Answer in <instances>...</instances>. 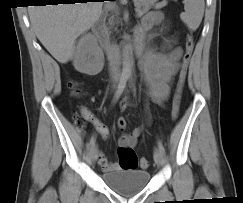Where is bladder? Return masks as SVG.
I'll return each mask as SVG.
<instances>
[{
    "label": "bladder",
    "mask_w": 243,
    "mask_h": 203,
    "mask_svg": "<svg viewBox=\"0 0 243 203\" xmlns=\"http://www.w3.org/2000/svg\"><path fill=\"white\" fill-rule=\"evenodd\" d=\"M104 183L121 195H134L141 192L150 180L147 170L118 169L102 174Z\"/></svg>",
    "instance_id": "31cf9c89"
}]
</instances>
